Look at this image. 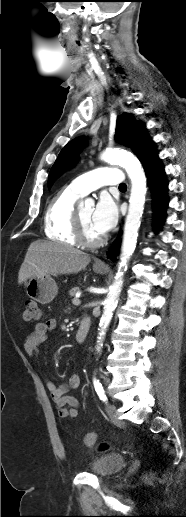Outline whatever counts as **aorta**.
<instances>
[{
    "instance_id": "aorta-1",
    "label": "aorta",
    "mask_w": 186,
    "mask_h": 517,
    "mask_svg": "<svg viewBox=\"0 0 186 517\" xmlns=\"http://www.w3.org/2000/svg\"><path fill=\"white\" fill-rule=\"evenodd\" d=\"M101 159L108 163H115L123 167L131 180V193L129 199L128 214L125 219L124 234L122 240L121 262L113 285L110 287L107 298L104 301V311L100 319V332L98 337L97 350L99 351L102 340L105 336L107 327L117 305L123 285V269L126 270V263L133 254L141 217L144 210L146 195V176L139 160L130 152L119 149H107L101 154Z\"/></svg>"
}]
</instances>
